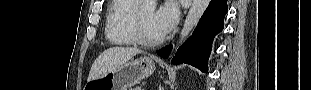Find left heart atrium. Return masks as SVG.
I'll return each mask as SVG.
<instances>
[{
    "label": "left heart atrium",
    "mask_w": 311,
    "mask_h": 90,
    "mask_svg": "<svg viewBox=\"0 0 311 90\" xmlns=\"http://www.w3.org/2000/svg\"><path fill=\"white\" fill-rule=\"evenodd\" d=\"M179 11L175 1H167L154 13L153 22L156 28L165 35L178 21Z\"/></svg>",
    "instance_id": "1"
}]
</instances>
